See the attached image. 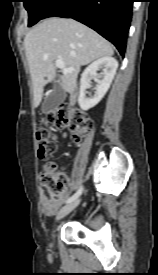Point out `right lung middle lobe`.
I'll list each match as a JSON object with an SVG mask.
<instances>
[{
    "instance_id": "obj_1",
    "label": "right lung middle lobe",
    "mask_w": 158,
    "mask_h": 275,
    "mask_svg": "<svg viewBox=\"0 0 158 275\" xmlns=\"http://www.w3.org/2000/svg\"><path fill=\"white\" fill-rule=\"evenodd\" d=\"M29 13V26L43 19L44 14L57 0H23Z\"/></svg>"
}]
</instances>
